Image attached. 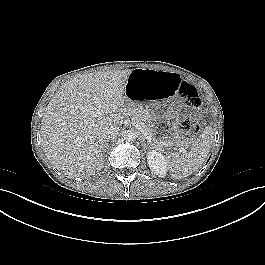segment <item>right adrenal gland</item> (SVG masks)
I'll return each mask as SVG.
<instances>
[{
  "mask_svg": "<svg viewBox=\"0 0 265 265\" xmlns=\"http://www.w3.org/2000/svg\"><path fill=\"white\" fill-rule=\"evenodd\" d=\"M107 146H108V143H107V142H105V148H107Z\"/></svg>",
  "mask_w": 265,
  "mask_h": 265,
  "instance_id": "right-adrenal-gland-1",
  "label": "right adrenal gland"
}]
</instances>
